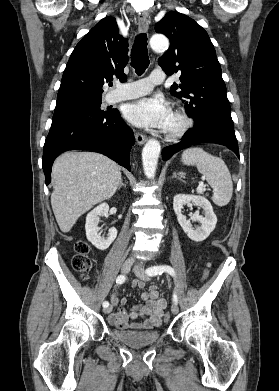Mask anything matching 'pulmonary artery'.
I'll list each match as a JSON object with an SVG mask.
<instances>
[{"label": "pulmonary artery", "instance_id": "e3ab8cb5", "mask_svg": "<svg viewBox=\"0 0 279 391\" xmlns=\"http://www.w3.org/2000/svg\"><path fill=\"white\" fill-rule=\"evenodd\" d=\"M162 71H153L147 78L126 84H119L117 89L107 96L108 103L137 98L149 93L153 86L164 82Z\"/></svg>", "mask_w": 279, "mask_h": 391}]
</instances>
